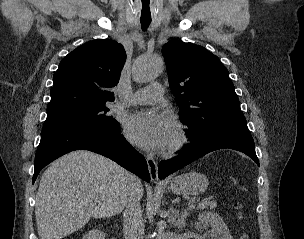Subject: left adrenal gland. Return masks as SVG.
<instances>
[{
	"instance_id": "a2214340",
	"label": "left adrenal gland",
	"mask_w": 304,
	"mask_h": 239,
	"mask_svg": "<svg viewBox=\"0 0 304 239\" xmlns=\"http://www.w3.org/2000/svg\"><path fill=\"white\" fill-rule=\"evenodd\" d=\"M171 212H172V220L174 222V225L179 230H182L183 227H185L186 224L185 219L189 215V212L187 210H184L179 213V210H177L176 208H171Z\"/></svg>"
}]
</instances>
